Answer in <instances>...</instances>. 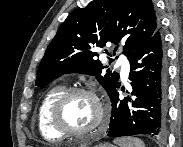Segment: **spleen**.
Returning a JSON list of instances; mask_svg holds the SVG:
<instances>
[{
  "label": "spleen",
  "mask_w": 183,
  "mask_h": 147,
  "mask_svg": "<svg viewBox=\"0 0 183 147\" xmlns=\"http://www.w3.org/2000/svg\"><path fill=\"white\" fill-rule=\"evenodd\" d=\"M114 143L119 147H145L142 140L134 137L118 138L114 140Z\"/></svg>",
  "instance_id": "obj_1"
}]
</instances>
